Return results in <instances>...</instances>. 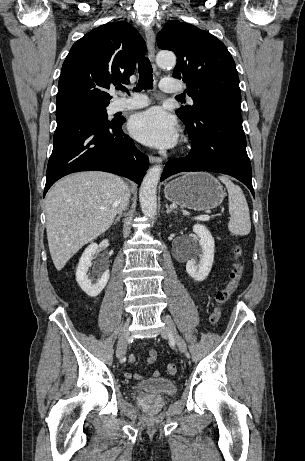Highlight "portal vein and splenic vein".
Segmentation results:
<instances>
[{
	"label": "portal vein and splenic vein",
	"mask_w": 305,
	"mask_h": 461,
	"mask_svg": "<svg viewBox=\"0 0 305 461\" xmlns=\"http://www.w3.org/2000/svg\"><path fill=\"white\" fill-rule=\"evenodd\" d=\"M210 219V216L208 214L200 215L198 217H195V220H201V221H208Z\"/></svg>",
	"instance_id": "1"
}]
</instances>
